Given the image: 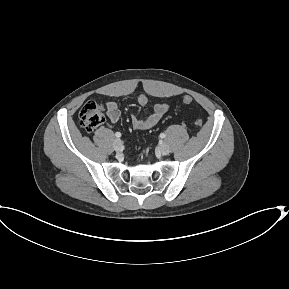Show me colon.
<instances>
[{
  "label": "colon",
  "instance_id": "obj_1",
  "mask_svg": "<svg viewBox=\"0 0 289 289\" xmlns=\"http://www.w3.org/2000/svg\"><path fill=\"white\" fill-rule=\"evenodd\" d=\"M183 102L189 105L193 102L191 96H184ZM104 121V111L101 104L95 101H87L81 108L79 112V123L80 126L90 132L96 129ZM196 126H202V120L198 118L195 121Z\"/></svg>",
  "mask_w": 289,
  "mask_h": 289
}]
</instances>
